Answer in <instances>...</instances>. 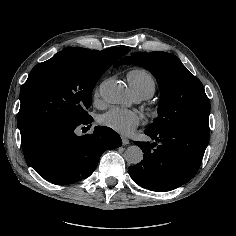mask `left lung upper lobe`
Segmentation results:
<instances>
[{"label": "left lung upper lobe", "instance_id": "obj_1", "mask_svg": "<svg viewBox=\"0 0 236 236\" xmlns=\"http://www.w3.org/2000/svg\"><path fill=\"white\" fill-rule=\"evenodd\" d=\"M135 64L148 69L159 84L161 101L158 117L146 129H196L209 132L210 101L200 80L173 54L136 52L114 67Z\"/></svg>", "mask_w": 236, "mask_h": 236}]
</instances>
